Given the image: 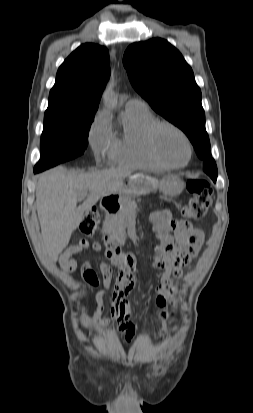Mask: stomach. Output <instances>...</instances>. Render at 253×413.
I'll list each match as a JSON object with an SVG mask.
<instances>
[{"label": "stomach", "instance_id": "0dacf381", "mask_svg": "<svg viewBox=\"0 0 253 413\" xmlns=\"http://www.w3.org/2000/svg\"><path fill=\"white\" fill-rule=\"evenodd\" d=\"M184 189V183L178 176H166L158 180L145 173H136L128 178L121 188L104 197L103 203H112L121 206L134 196L147 195L159 190L162 194L169 197H176Z\"/></svg>", "mask_w": 253, "mask_h": 413}]
</instances>
